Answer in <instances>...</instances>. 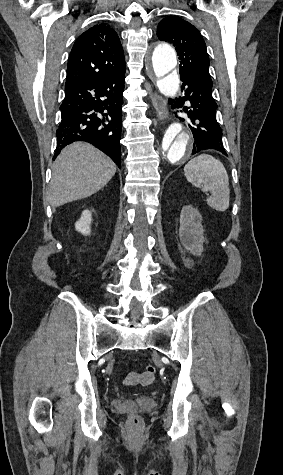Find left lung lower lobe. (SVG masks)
Segmentation results:
<instances>
[{
    "label": "left lung lower lobe",
    "instance_id": "1",
    "mask_svg": "<svg viewBox=\"0 0 283 475\" xmlns=\"http://www.w3.org/2000/svg\"><path fill=\"white\" fill-rule=\"evenodd\" d=\"M180 78L185 95L182 102L189 101L192 108L186 111L194 137L192 153L214 149L227 155L222 143V130L216 120L217 104L212 97V80L191 74L180 75Z\"/></svg>",
    "mask_w": 283,
    "mask_h": 475
}]
</instances>
